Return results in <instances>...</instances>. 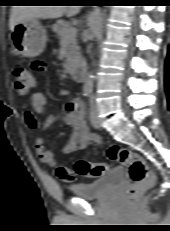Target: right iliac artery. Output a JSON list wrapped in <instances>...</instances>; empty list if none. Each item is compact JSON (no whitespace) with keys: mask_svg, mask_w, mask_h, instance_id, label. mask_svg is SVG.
<instances>
[{"mask_svg":"<svg viewBox=\"0 0 170 231\" xmlns=\"http://www.w3.org/2000/svg\"><path fill=\"white\" fill-rule=\"evenodd\" d=\"M83 92H84L83 93L84 96H88L90 94V90L87 88H85Z\"/></svg>","mask_w":170,"mask_h":231,"instance_id":"obj_1","label":"right iliac artery"}]
</instances>
